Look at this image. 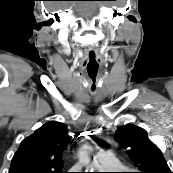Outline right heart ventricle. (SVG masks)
I'll return each instance as SVG.
<instances>
[{
    "label": "right heart ventricle",
    "mask_w": 173,
    "mask_h": 173,
    "mask_svg": "<svg viewBox=\"0 0 173 173\" xmlns=\"http://www.w3.org/2000/svg\"><path fill=\"white\" fill-rule=\"evenodd\" d=\"M110 168L116 169L118 171H122V170L125 169V167L123 166V164L120 161H118L117 159H115V158H114L113 166L110 167Z\"/></svg>",
    "instance_id": "e07e8e85"
}]
</instances>
